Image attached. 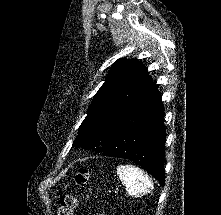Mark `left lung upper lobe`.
Wrapping results in <instances>:
<instances>
[{"label":"left lung upper lobe","mask_w":221,"mask_h":215,"mask_svg":"<svg viewBox=\"0 0 221 215\" xmlns=\"http://www.w3.org/2000/svg\"><path fill=\"white\" fill-rule=\"evenodd\" d=\"M152 83L138 60H117L96 93L73 146L103 152L118 122Z\"/></svg>","instance_id":"obj_1"}]
</instances>
